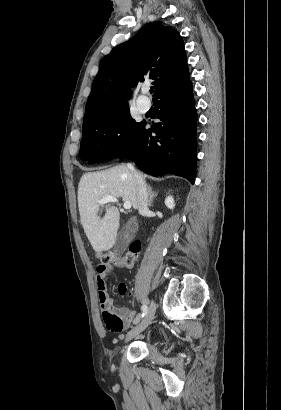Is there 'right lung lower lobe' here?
<instances>
[{
  "label": "right lung lower lobe",
  "mask_w": 281,
  "mask_h": 410,
  "mask_svg": "<svg viewBox=\"0 0 281 410\" xmlns=\"http://www.w3.org/2000/svg\"><path fill=\"white\" fill-rule=\"evenodd\" d=\"M154 106L161 121L149 129L144 122L119 157L134 161L153 176L175 174L193 184L197 167V114L191 81L159 95Z\"/></svg>",
  "instance_id": "1"
}]
</instances>
